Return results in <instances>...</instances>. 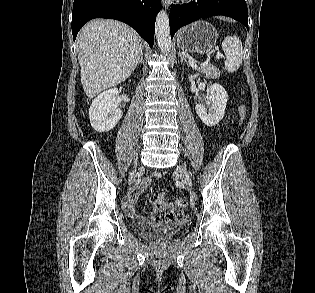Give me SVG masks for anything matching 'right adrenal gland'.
Here are the masks:
<instances>
[{
	"label": "right adrenal gland",
	"mask_w": 315,
	"mask_h": 293,
	"mask_svg": "<svg viewBox=\"0 0 315 293\" xmlns=\"http://www.w3.org/2000/svg\"><path fill=\"white\" fill-rule=\"evenodd\" d=\"M142 61H143V54L140 57L139 63H142Z\"/></svg>",
	"instance_id": "2a0ac1e0"
}]
</instances>
